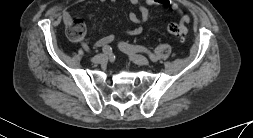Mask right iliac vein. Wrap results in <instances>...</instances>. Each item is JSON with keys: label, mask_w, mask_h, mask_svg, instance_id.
<instances>
[{"label": "right iliac vein", "mask_w": 253, "mask_h": 138, "mask_svg": "<svg viewBox=\"0 0 253 138\" xmlns=\"http://www.w3.org/2000/svg\"><path fill=\"white\" fill-rule=\"evenodd\" d=\"M107 56L105 54H98L92 58V61L96 64H102L106 62Z\"/></svg>", "instance_id": "1"}]
</instances>
